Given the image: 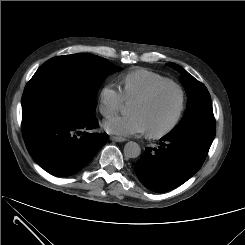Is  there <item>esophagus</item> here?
<instances>
[{
    "instance_id": "obj_1",
    "label": "esophagus",
    "mask_w": 245,
    "mask_h": 245,
    "mask_svg": "<svg viewBox=\"0 0 245 245\" xmlns=\"http://www.w3.org/2000/svg\"><path fill=\"white\" fill-rule=\"evenodd\" d=\"M110 140L115 141V142H124L127 139L122 138V137H117V136H110Z\"/></svg>"
}]
</instances>
